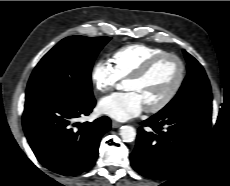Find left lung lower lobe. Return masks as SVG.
Returning a JSON list of instances; mask_svg holds the SVG:
<instances>
[{
    "instance_id": "0a47b994",
    "label": "left lung lower lobe",
    "mask_w": 230,
    "mask_h": 186,
    "mask_svg": "<svg viewBox=\"0 0 230 186\" xmlns=\"http://www.w3.org/2000/svg\"><path fill=\"white\" fill-rule=\"evenodd\" d=\"M212 103L186 105L158 112L142 122L130 156L132 167L151 179H169L190 162L211 129Z\"/></svg>"
}]
</instances>
